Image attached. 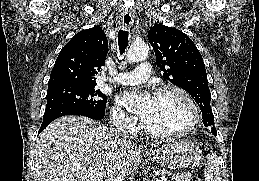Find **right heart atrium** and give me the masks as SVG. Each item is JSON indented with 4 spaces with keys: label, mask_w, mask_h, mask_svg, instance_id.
<instances>
[{
    "label": "right heart atrium",
    "mask_w": 259,
    "mask_h": 181,
    "mask_svg": "<svg viewBox=\"0 0 259 181\" xmlns=\"http://www.w3.org/2000/svg\"><path fill=\"white\" fill-rule=\"evenodd\" d=\"M112 120L115 125L125 129H132L135 126L134 118L120 107H113L111 110Z\"/></svg>",
    "instance_id": "d8ad5b80"
}]
</instances>
